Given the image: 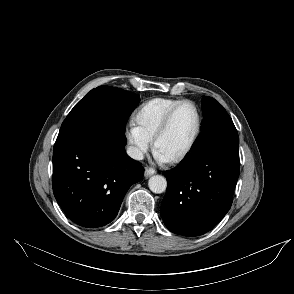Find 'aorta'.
Segmentation results:
<instances>
[{
    "label": "aorta",
    "instance_id": "aorta-1",
    "mask_svg": "<svg viewBox=\"0 0 294 294\" xmlns=\"http://www.w3.org/2000/svg\"><path fill=\"white\" fill-rule=\"evenodd\" d=\"M148 186L153 193H163L167 188L166 178L161 175H154L149 179Z\"/></svg>",
    "mask_w": 294,
    "mask_h": 294
}]
</instances>
